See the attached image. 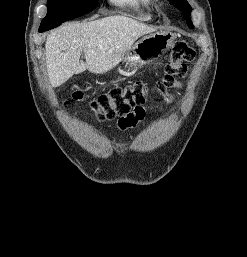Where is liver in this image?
<instances>
[{
	"label": "liver",
	"instance_id": "6515ba94",
	"mask_svg": "<svg viewBox=\"0 0 247 257\" xmlns=\"http://www.w3.org/2000/svg\"><path fill=\"white\" fill-rule=\"evenodd\" d=\"M155 28L122 15L82 23H68L47 37L46 66L52 87H59L73 75L103 74L118 65L133 43ZM82 51L85 62L80 60Z\"/></svg>",
	"mask_w": 247,
	"mask_h": 257
}]
</instances>
